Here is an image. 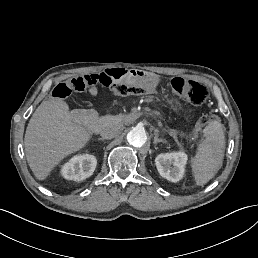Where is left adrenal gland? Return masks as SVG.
Listing matches in <instances>:
<instances>
[{"instance_id":"left-adrenal-gland-1","label":"left adrenal gland","mask_w":258,"mask_h":258,"mask_svg":"<svg viewBox=\"0 0 258 258\" xmlns=\"http://www.w3.org/2000/svg\"><path fill=\"white\" fill-rule=\"evenodd\" d=\"M159 142L166 143L167 141L164 139L158 138V136L155 135L153 143L156 145Z\"/></svg>"}]
</instances>
